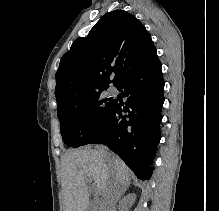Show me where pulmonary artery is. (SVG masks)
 <instances>
[{
	"mask_svg": "<svg viewBox=\"0 0 219 211\" xmlns=\"http://www.w3.org/2000/svg\"><path fill=\"white\" fill-rule=\"evenodd\" d=\"M108 93H109L110 95H116L117 90H116L115 88H110V89L108 90Z\"/></svg>",
	"mask_w": 219,
	"mask_h": 211,
	"instance_id": "1",
	"label": "pulmonary artery"
}]
</instances>
